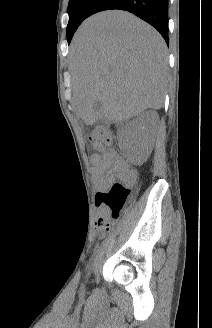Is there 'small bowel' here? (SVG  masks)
<instances>
[{
    "label": "small bowel",
    "instance_id": "1",
    "mask_svg": "<svg viewBox=\"0 0 212 328\" xmlns=\"http://www.w3.org/2000/svg\"><path fill=\"white\" fill-rule=\"evenodd\" d=\"M97 153L91 156L93 175L101 187L111 183L116 176L131 183L135 179V172L129 170L122 158L111 148L102 144L94 146Z\"/></svg>",
    "mask_w": 212,
    "mask_h": 328
}]
</instances>
